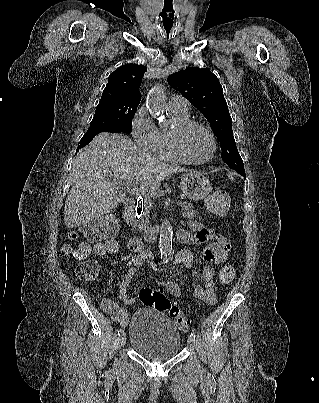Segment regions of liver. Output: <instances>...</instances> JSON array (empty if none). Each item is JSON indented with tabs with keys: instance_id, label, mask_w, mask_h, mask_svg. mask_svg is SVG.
<instances>
[{
	"instance_id": "1",
	"label": "liver",
	"mask_w": 319,
	"mask_h": 403,
	"mask_svg": "<svg viewBox=\"0 0 319 403\" xmlns=\"http://www.w3.org/2000/svg\"><path fill=\"white\" fill-rule=\"evenodd\" d=\"M184 171L139 149L124 134L100 133L74 159L64 223L79 227L111 212L125 198L118 192L122 181H138L142 190L154 192L167 176Z\"/></svg>"
}]
</instances>
